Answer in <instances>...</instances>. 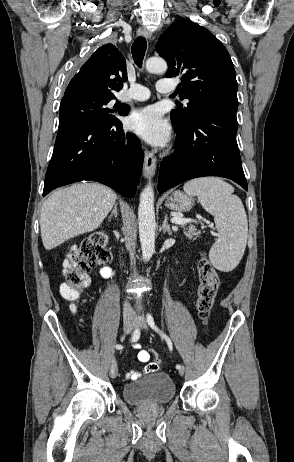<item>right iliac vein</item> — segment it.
Instances as JSON below:
<instances>
[{
  "mask_svg": "<svg viewBox=\"0 0 294 462\" xmlns=\"http://www.w3.org/2000/svg\"><path fill=\"white\" fill-rule=\"evenodd\" d=\"M133 327V316L126 315L123 320V331L125 334H128ZM117 375V363L116 360L113 358L111 361V368H110V376L116 377Z\"/></svg>",
  "mask_w": 294,
  "mask_h": 462,
  "instance_id": "63e3f726",
  "label": "right iliac vein"
}]
</instances>
